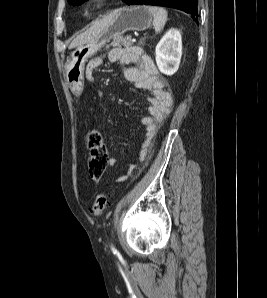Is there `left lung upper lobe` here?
I'll return each instance as SVG.
<instances>
[{"label":"left lung upper lobe","instance_id":"obj_1","mask_svg":"<svg viewBox=\"0 0 267 298\" xmlns=\"http://www.w3.org/2000/svg\"><path fill=\"white\" fill-rule=\"evenodd\" d=\"M86 0H68V2L72 5H80L83 2H85ZM123 2H126L127 0H122Z\"/></svg>","mask_w":267,"mask_h":298}]
</instances>
